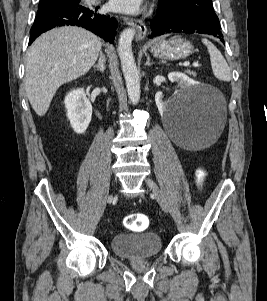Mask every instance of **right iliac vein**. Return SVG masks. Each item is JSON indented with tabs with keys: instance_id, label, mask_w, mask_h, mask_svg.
<instances>
[{
	"instance_id": "obj_1",
	"label": "right iliac vein",
	"mask_w": 267,
	"mask_h": 301,
	"mask_svg": "<svg viewBox=\"0 0 267 301\" xmlns=\"http://www.w3.org/2000/svg\"><path fill=\"white\" fill-rule=\"evenodd\" d=\"M112 199H113V196H112V195H110V196L108 197V199H107V202H111V201H112Z\"/></svg>"
}]
</instances>
